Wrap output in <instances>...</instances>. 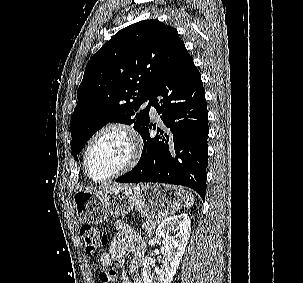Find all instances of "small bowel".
Returning a JSON list of instances; mask_svg holds the SVG:
<instances>
[{"label":"small bowel","instance_id":"c3829d8e","mask_svg":"<svg viewBox=\"0 0 303 283\" xmlns=\"http://www.w3.org/2000/svg\"><path fill=\"white\" fill-rule=\"evenodd\" d=\"M114 235L109 250L100 255V263L109 267L112 261L123 265L125 257L133 252L130 262V270L135 271L143 262L146 252V243L141 235L123 222L116 223ZM121 283H131L127 274L121 275ZM134 283H143L141 278H136Z\"/></svg>","mask_w":303,"mask_h":283}]
</instances>
